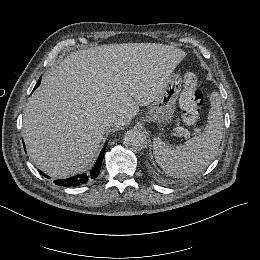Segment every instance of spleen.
<instances>
[{"label":"spleen","mask_w":260,"mask_h":260,"mask_svg":"<svg viewBox=\"0 0 260 260\" xmlns=\"http://www.w3.org/2000/svg\"><path fill=\"white\" fill-rule=\"evenodd\" d=\"M211 108L205 130L180 147L153 140V154L163 171L175 178L191 177L203 171L214 159L223 137V112L218 92L210 95Z\"/></svg>","instance_id":"spleen-1"}]
</instances>
